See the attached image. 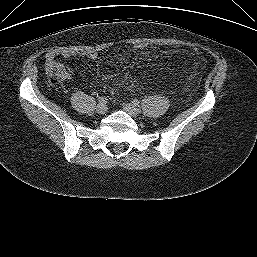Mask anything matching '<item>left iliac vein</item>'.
I'll return each instance as SVG.
<instances>
[{"label":"left iliac vein","instance_id":"obj_1","mask_svg":"<svg viewBox=\"0 0 257 257\" xmlns=\"http://www.w3.org/2000/svg\"><path fill=\"white\" fill-rule=\"evenodd\" d=\"M124 110L129 113L132 117H136L139 114V109L131 103H125L123 105Z\"/></svg>","mask_w":257,"mask_h":257}]
</instances>
